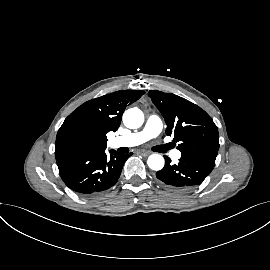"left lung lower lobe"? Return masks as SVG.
<instances>
[{
	"instance_id": "1",
	"label": "left lung lower lobe",
	"mask_w": 270,
	"mask_h": 270,
	"mask_svg": "<svg viewBox=\"0 0 270 270\" xmlns=\"http://www.w3.org/2000/svg\"><path fill=\"white\" fill-rule=\"evenodd\" d=\"M165 160L164 168L156 173V177L163 185L175 191H188L200 185L213 170L191 158L181 157L177 165H171L167 156Z\"/></svg>"
}]
</instances>
